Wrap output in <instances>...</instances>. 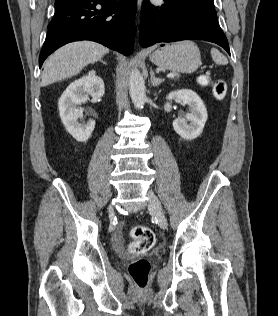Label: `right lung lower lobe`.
I'll list each match as a JSON object with an SVG mask.
<instances>
[{
  "label": "right lung lower lobe",
  "instance_id": "98d812e1",
  "mask_svg": "<svg viewBox=\"0 0 278 316\" xmlns=\"http://www.w3.org/2000/svg\"><path fill=\"white\" fill-rule=\"evenodd\" d=\"M137 0H56L55 15L40 52L39 66L73 41L92 40L124 55L133 52Z\"/></svg>",
  "mask_w": 278,
  "mask_h": 316
}]
</instances>
